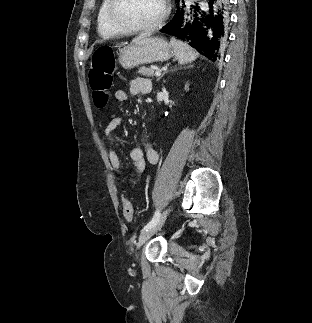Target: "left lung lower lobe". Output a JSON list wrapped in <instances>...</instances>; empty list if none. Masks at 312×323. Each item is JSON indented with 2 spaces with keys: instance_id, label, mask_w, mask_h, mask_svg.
Returning a JSON list of instances; mask_svg holds the SVG:
<instances>
[{
  "instance_id": "left-lung-lower-lobe-1",
  "label": "left lung lower lobe",
  "mask_w": 312,
  "mask_h": 323,
  "mask_svg": "<svg viewBox=\"0 0 312 323\" xmlns=\"http://www.w3.org/2000/svg\"><path fill=\"white\" fill-rule=\"evenodd\" d=\"M207 6L186 9L184 0L174 18L160 31L186 41L200 54L216 60L223 54L228 35L226 0H206Z\"/></svg>"
}]
</instances>
